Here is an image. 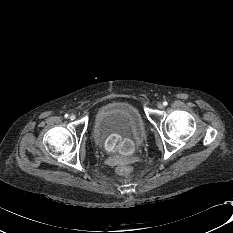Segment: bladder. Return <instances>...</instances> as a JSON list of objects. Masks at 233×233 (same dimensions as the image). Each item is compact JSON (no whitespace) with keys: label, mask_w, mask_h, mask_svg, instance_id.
<instances>
[{"label":"bladder","mask_w":233,"mask_h":233,"mask_svg":"<svg viewBox=\"0 0 233 233\" xmlns=\"http://www.w3.org/2000/svg\"><path fill=\"white\" fill-rule=\"evenodd\" d=\"M92 133L97 141L104 135L118 134L140 144L146 138L147 127L137 107L129 103L113 102L97 111Z\"/></svg>","instance_id":"31cf9c89"}]
</instances>
